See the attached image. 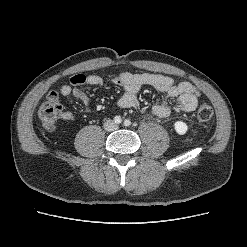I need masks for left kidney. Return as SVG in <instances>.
<instances>
[{
	"instance_id": "5707ae66",
	"label": "left kidney",
	"mask_w": 247,
	"mask_h": 247,
	"mask_svg": "<svg viewBox=\"0 0 247 247\" xmlns=\"http://www.w3.org/2000/svg\"><path fill=\"white\" fill-rule=\"evenodd\" d=\"M174 129L179 135H184L188 130V126L183 121H176L174 123Z\"/></svg>"
}]
</instances>
